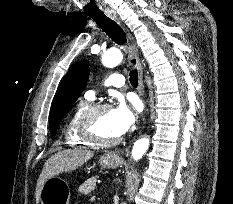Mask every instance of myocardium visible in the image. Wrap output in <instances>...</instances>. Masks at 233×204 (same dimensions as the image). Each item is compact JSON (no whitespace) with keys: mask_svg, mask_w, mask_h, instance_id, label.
Here are the masks:
<instances>
[{"mask_svg":"<svg viewBox=\"0 0 233 204\" xmlns=\"http://www.w3.org/2000/svg\"><path fill=\"white\" fill-rule=\"evenodd\" d=\"M111 106L107 103H98L92 104L89 106L86 111L83 113L80 125H79V133L83 139L92 145L96 146H112L116 145L120 142L121 138L117 137L114 139H105L97 135L95 132V125L97 117L100 113L105 110L110 109Z\"/></svg>","mask_w":233,"mask_h":204,"instance_id":"f54148a6","label":"myocardium"}]
</instances>
